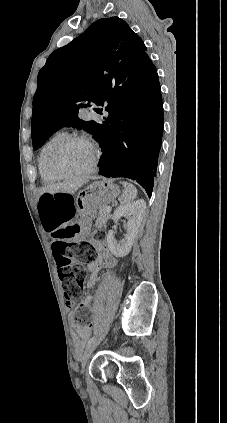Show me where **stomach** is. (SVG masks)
I'll use <instances>...</instances> for the list:
<instances>
[{"instance_id": "0dacf381", "label": "stomach", "mask_w": 227, "mask_h": 423, "mask_svg": "<svg viewBox=\"0 0 227 423\" xmlns=\"http://www.w3.org/2000/svg\"><path fill=\"white\" fill-rule=\"evenodd\" d=\"M119 194L118 186H114L112 180L103 178L101 182H93L79 192L75 200L76 208L78 211L95 213L99 206H106V204L114 202Z\"/></svg>"}]
</instances>
